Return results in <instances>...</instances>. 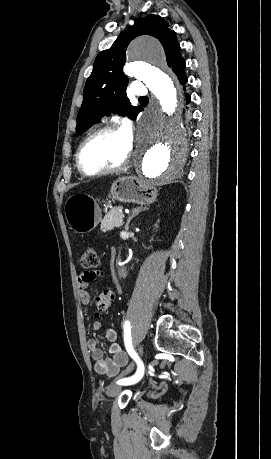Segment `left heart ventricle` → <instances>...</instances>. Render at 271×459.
I'll use <instances>...</instances> for the list:
<instances>
[{"label": "left heart ventricle", "mask_w": 271, "mask_h": 459, "mask_svg": "<svg viewBox=\"0 0 271 459\" xmlns=\"http://www.w3.org/2000/svg\"><path fill=\"white\" fill-rule=\"evenodd\" d=\"M132 148L122 131L104 132L90 139L84 147L82 160L87 168L120 161Z\"/></svg>", "instance_id": "obj_1"}]
</instances>
